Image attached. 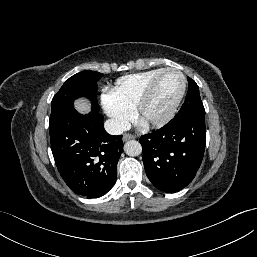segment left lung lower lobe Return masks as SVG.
Wrapping results in <instances>:
<instances>
[{"instance_id":"left-lung-lower-lobe-1","label":"left lung lower lobe","mask_w":257,"mask_h":257,"mask_svg":"<svg viewBox=\"0 0 257 257\" xmlns=\"http://www.w3.org/2000/svg\"><path fill=\"white\" fill-rule=\"evenodd\" d=\"M143 164L152 184L174 193L188 186L198 171L205 150L204 114L174 117L169 123L141 136Z\"/></svg>"}]
</instances>
